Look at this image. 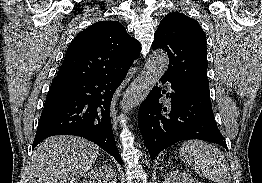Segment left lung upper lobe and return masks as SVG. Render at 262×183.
Instances as JSON below:
<instances>
[{
  "instance_id": "left-lung-upper-lobe-1",
  "label": "left lung upper lobe",
  "mask_w": 262,
  "mask_h": 183,
  "mask_svg": "<svg viewBox=\"0 0 262 183\" xmlns=\"http://www.w3.org/2000/svg\"><path fill=\"white\" fill-rule=\"evenodd\" d=\"M152 48L167 52L165 74L209 94L205 33L196 20L178 12L167 14L154 35Z\"/></svg>"
}]
</instances>
